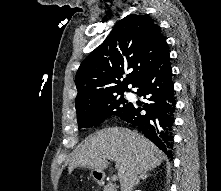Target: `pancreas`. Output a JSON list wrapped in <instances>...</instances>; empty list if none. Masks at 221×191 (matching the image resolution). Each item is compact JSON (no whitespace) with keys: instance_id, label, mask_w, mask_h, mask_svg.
Listing matches in <instances>:
<instances>
[{"instance_id":"obj_1","label":"pancreas","mask_w":221,"mask_h":191,"mask_svg":"<svg viewBox=\"0 0 221 191\" xmlns=\"http://www.w3.org/2000/svg\"><path fill=\"white\" fill-rule=\"evenodd\" d=\"M103 191H117V189L114 185L108 184L103 187Z\"/></svg>"}]
</instances>
